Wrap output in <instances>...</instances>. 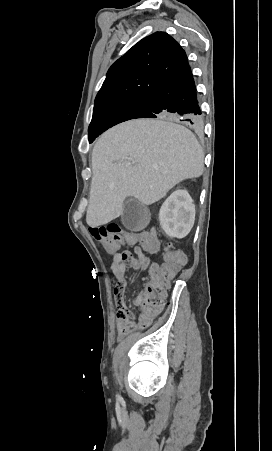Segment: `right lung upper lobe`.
I'll use <instances>...</instances> for the list:
<instances>
[{"mask_svg": "<svg viewBox=\"0 0 272 451\" xmlns=\"http://www.w3.org/2000/svg\"><path fill=\"white\" fill-rule=\"evenodd\" d=\"M187 64L185 51L167 33L147 36L110 67L95 105L124 97L150 96Z\"/></svg>", "mask_w": 272, "mask_h": 451, "instance_id": "cb5924a9", "label": "right lung upper lobe"}]
</instances>
